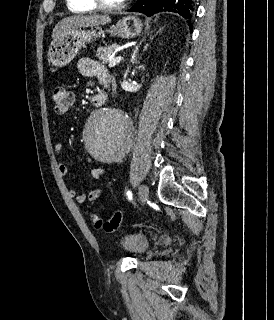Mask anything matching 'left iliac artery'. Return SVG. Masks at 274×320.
Instances as JSON below:
<instances>
[{
  "mask_svg": "<svg viewBox=\"0 0 274 320\" xmlns=\"http://www.w3.org/2000/svg\"><path fill=\"white\" fill-rule=\"evenodd\" d=\"M127 197H128V199L129 200H131L132 199V193H131V191H127Z\"/></svg>",
  "mask_w": 274,
  "mask_h": 320,
  "instance_id": "1",
  "label": "left iliac artery"
}]
</instances>
